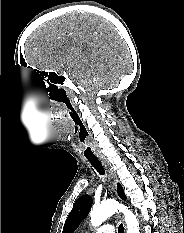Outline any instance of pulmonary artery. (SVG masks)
Wrapping results in <instances>:
<instances>
[{
    "label": "pulmonary artery",
    "instance_id": "e3ab8cb5",
    "mask_svg": "<svg viewBox=\"0 0 184 233\" xmlns=\"http://www.w3.org/2000/svg\"><path fill=\"white\" fill-rule=\"evenodd\" d=\"M94 233H115V228L112 224H104L98 227Z\"/></svg>",
    "mask_w": 184,
    "mask_h": 233
}]
</instances>
